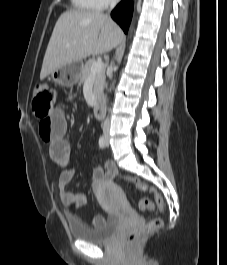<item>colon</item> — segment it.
<instances>
[{"instance_id":"colon-1","label":"colon","mask_w":227,"mask_h":265,"mask_svg":"<svg viewBox=\"0 0 227 265\" xmlns=\"http://www.w3.org/2000/svg\"><path fill=\"white\" fill-rule=\"evenodd\" d=\"M54 91L45 83H37L34 88V99L33 108L40 120H43V116H50L51 107L54 100ZM126 180L132 183L136 189L149 192L154 197V202L147 198H143L139 201V207L142 211H150L155 208L163 210L164 202L159 193L147 183L141 181L136 177H126ZM162 220L160 218H154L148 221L139 232L131 233L126 236L125 243L131 245L138 240V238L143 234H150L157 231L162 226Z\"/></svg>"}]
</instances>
